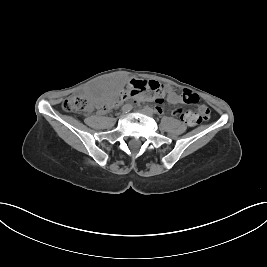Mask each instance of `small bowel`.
Returning <instances> with one entry per match:
<instances>
[{
    "mask_svg": "<svg viewBox=\"0 0 267 267\" xmlns=\"http://www.w3.org/2000/svg\"><path fill=\"white\" fill-rule=\"evenodd\" d=\"M165 90L167 91V100L170 104L172 105H178L180 103L183 102L182 100V94H178L176 93L172 87L170 86H165L164 87ZM113 89L112 88H107L104 92H103V95L101 96V98H99L97 100V107H98V111L100 113H107V109L105 107V105L107 104V102L109 101V99L111 97L114 96L113 94ZM157 109L159 111H161V108L160 107H157ZM179 110V113L182 115L181 117V120L184 121L186 124H188L189 126H194L196 125L197 123H199V121L197 120L196 116L193 114V112H186V113H183L180 109H176L174 111V115H176V111Z\"/></svg>",
    "mask_w": 267,
    "mask_h": 267,
    "instance_id": "obj_1",
    "label": "small bowel"
}]
</instances>
